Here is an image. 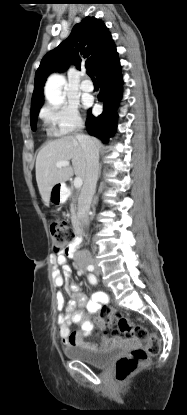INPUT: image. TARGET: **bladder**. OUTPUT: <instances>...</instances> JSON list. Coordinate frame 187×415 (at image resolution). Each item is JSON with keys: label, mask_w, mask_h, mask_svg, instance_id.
<instances>
[{"label": "bladder", "mask_w": 187, "mask_h": 415, "mask_svg": "<svg viewBox=\"0 0 187 415\" xmlns=\"http://www.w3.org/2000/svg\"><path fill=\"white\" fill-rule=\"evenodd\" d=\"M121 351V346H116L105 351H90L83 347L72 346L64 349L65 355L74 360H79L96 368L106 367Z\"/></svg>", "instance_id": "31cf9c89"}]
</instances>
